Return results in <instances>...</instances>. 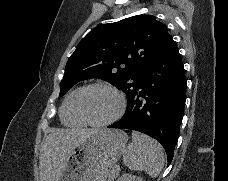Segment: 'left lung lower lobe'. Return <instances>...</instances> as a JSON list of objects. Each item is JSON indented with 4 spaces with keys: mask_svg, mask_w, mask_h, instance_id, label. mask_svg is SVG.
<instances>
[{
    "mask_svg": "<svg viewBox=\"0 0 228 181\" xmlns=\"http://www.w3.org/2000/svg\"><path fill=\"white\" fill-rule=\"evenodd\" d=\"M186 100V78L172 38L143 67L127 97L123 117L109 128L145 133L165 148L168 165L174 155Z\"/></svg>",
    "mask_w": 228,
    "mask_h": 181,
    "instance_id": "left-lung-lower-lobe-1",
    "label": "left lung lower lobe"
}]
</instances>
